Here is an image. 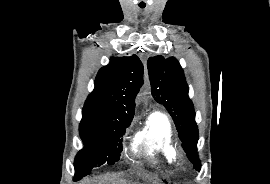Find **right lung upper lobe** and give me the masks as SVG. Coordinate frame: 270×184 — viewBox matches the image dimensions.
Segmentation results:
<instances>
[{
	"instance_id": "right-lung-upper-lobe-1",
	"label": "right lung upper lobe",
	"mask_w": 270,
	"mask_h": 184,
	"mask_svg": "<svg viewBox=\"0 0 270 184\" xmlns=\"http://www.w3.org/2000/svg\"><path fill=\"white\" fill-rule=\"evenodd\" d=\"M143 84V65L136 55L111 58L95 80V89L88 96L84 108L101 119L131 121L135 97Z\"/></svg>"
}]
</instances>
